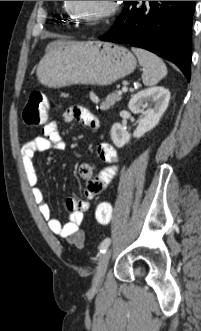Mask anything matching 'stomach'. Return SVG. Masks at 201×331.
<instances>
[{"instance_id": "1", "label": "stomach", "mask_w": 201, "mask_h": 331, "mask_svg": "<svg viewBox=\"0 0 201 331\" xmlns=\"http://www.w3.org/2000/svg\"><path fill=\"white\" fill-rule=\"evenodd\" d=\"M135 56L125 47L100 40L50 46L37 66L39 81L53 88L72 84L110 85L131 74Z\"/></svg>"}]
</instances>
